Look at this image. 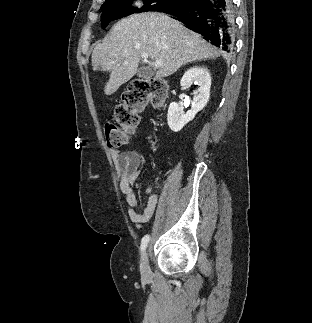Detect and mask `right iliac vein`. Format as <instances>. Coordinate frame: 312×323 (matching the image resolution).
I'll use <instances>...</instances> for the list:
<instances>
[{
	"mask_svg": "<svg viewBox=\"0 0 312 323\" xmlns=\"http://www.w3.org/2000/svg\"><path fill=\"white\" fill-rule=\"evenodd\" d=\"M140 272L143 276H147L149 274L148 258L146 252H144L141 257Z\"/></svg>",
	"mask_w": 312,
	"mask_h": 323,
	"instance_id": "63e3f726",
	"label": "right iliac vein"
}]
</instances>
